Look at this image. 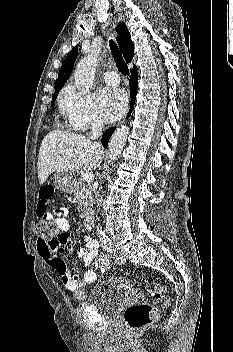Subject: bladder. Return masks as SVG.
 Segmentation results:
<instances>
[{"mask_svg": "<svg viewBox=\"0 0 233 352\" xmlns=\"http://www.w3.org/2000/svg\"><path fill=\"white\" fill-rule=\"evenodd\" d=\"M125 300L126 294L118 284L112 281H102L92 288L87 303L101 313L113 316Z\"/></svg>", "mask_w": 233, "mask_h": 352, "instance_id": "31cf9c89", "label": "bladder"}]
</instances>
